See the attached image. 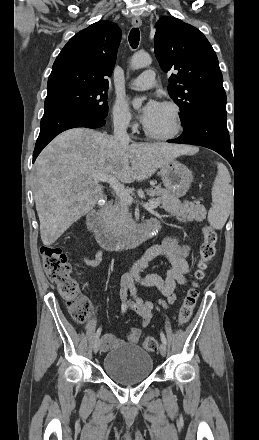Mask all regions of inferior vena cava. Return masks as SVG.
Instances as JSON below:
<instances>
[{
  "label": "inferior vena cava",
  "instance_id": "1",
  "mask_svg": "<svg viewBox=\"0 0 259 440\" xmlns=\"http://www.w3.org/2000/svg\"><path fill=\"white\" fill-rule=\"evenodd\" d=\"M116 140L122 143H129L130 137L127 133V124L123 121H117L114 123V136Z\"/></svg>",
  "mask_w": 259,
  "mask_h": 440
}]
</instances>
